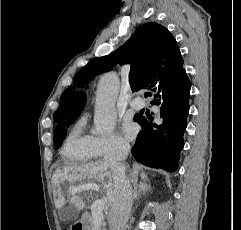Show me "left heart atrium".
I'll use <instances>...</instances> for the list:
<instances>
[{
  "label": "left heart atrium",
  "instance_id": "1",
  "mask_svg": "<svg viewBox=\"0 0 241 230\" xmlns=\"http://www.w3.org/2000/svg\"><path fill=\"white\" fill-rule=\"evenodd\" d=\"M123 132L125 136L129 139H133L136 135L137 127L129 118H126L124 120Z\"/></svg>",
  "mask_w": 241,
  "mask_h": 230
}]
</instances>
